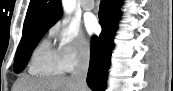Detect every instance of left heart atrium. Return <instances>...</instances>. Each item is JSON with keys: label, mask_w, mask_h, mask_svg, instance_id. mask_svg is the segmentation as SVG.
Instances as JSON below:
<instances>
[{"label": "left heart atrium", "mask_w": 173, "mask_h": 91, "mask_svg": "<svg viewBox=\"0 0 173 91\" xmlns=\"http://www.w3.org/2000/svg\"><path fill=\"white\" fill-rule=\"evenodd\" d=\"M85 28L89 33H94L98 30V22L95 16L88 15L84 21Z\"/></svg>", "instance_id": "left-heart-atrium-1"}]
</instances>
